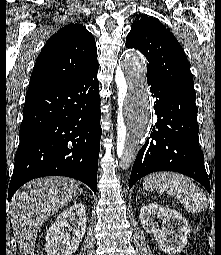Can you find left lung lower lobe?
<instances>
[{
    "label": "left lung lower lobe",
    "instance_id": "obj_1",
    "mask_svg": "<svg viewBox=\"0 0 221 255\" xmlns=\"http://www.w3.org/2000/svg\"><path fill=\"white\" fill-rule=\"evenodd\" d=\"M151 86L157 122L137 154L129 180L131 188L140 178L156 171H174L201 183L210 193L204 155L198 143L199 126L195 99L160 84Z\"/></svg>",
    "mask_w": 221,
    "mask_h": 255
}]
</instances>
